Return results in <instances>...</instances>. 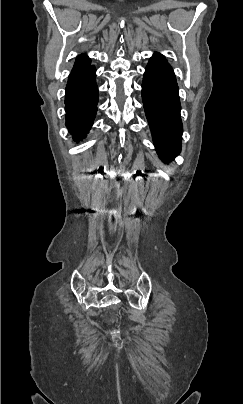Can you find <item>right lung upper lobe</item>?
Masks as SVG:
<instances>
[{"label": "right lung upper lobe", "mask_w": 243, "mask_h": 404, "mask_svg": "<svg viewBox=\"0 0 243 404\" xmlns=\"http://www.w3.org/2000/svg\"><path fill=\"white\" fill-rule=\"evenodd\" d=\"M90 66V59L82 54L79 56V60L75 62V65L71 71V73L78 72Z\"/></svg>", "instance_id": "cb5924a9"}]
</instances>
